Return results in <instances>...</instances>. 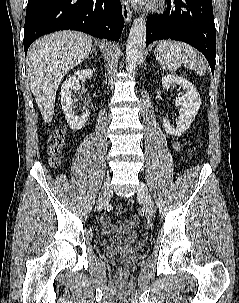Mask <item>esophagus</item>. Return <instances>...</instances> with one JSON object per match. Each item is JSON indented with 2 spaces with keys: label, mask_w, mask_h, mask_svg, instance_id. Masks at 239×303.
<instances>
[{
  "label": "esophagus",
  "mask_w": 239,
  "mask_h": 303,
  "mask_svg": "<svg viewBox=\"0 0 239 303\" xmlns=\"http://www.w3.org/2000/svg\"><path fill=\"white\" fill-rule=\"evenodd\" d=\"M122 14L126 23H129L132 18V12L130 10V6L126 0H122Z\"/></svg>",
  "instance_id": "obj_1"
}]
</instances>
